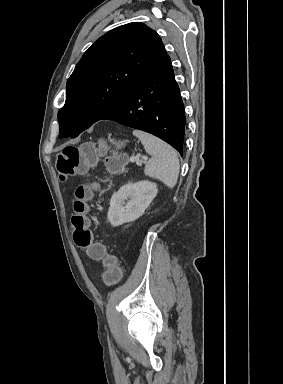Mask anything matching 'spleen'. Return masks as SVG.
<instances>
[{"instance_id": "spleen-1", "label": "spleen", "mask_w": 283, "mask_h": 384, "mask_svg": "<svg viewBox=\"0 0 283 384\" xmlns=\"http://www.w3.org/2000/svg\"><path fill=\"white\" fill-rule=\"evenodd\" d=\"M133 136L139 138L147 154L152 156L144 168L146 176L160 180L168 188H173L178 180L180 168L175 150L165 144L163 140H159V138H155L151 134H146V132L134 130Z\"/></svg>"}]
</instances>
